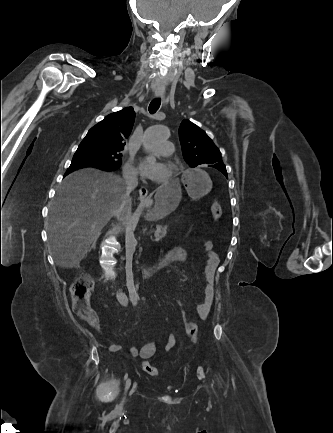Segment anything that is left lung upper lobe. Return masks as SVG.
<instances>
[{
  "instance_id": "left-lung-upper-lobe-1",
  "label": "left lung upper lobe",
  "mask_w": 333,
  "mask_h": 433,
  "mask_svg": "<svg viewBox=\"0 0 333 433\" xmlns=\"http://www.w3.org/2000/svg\"><path fill=\"white\" fill-rule=\"evenodd\" d=\"M179 138L183 157L191 167L201 164L219 165L224 170L221 172L227 177L219 149L197 125L183 120L179 128Z\"/></svg>"
}]
</instances>
